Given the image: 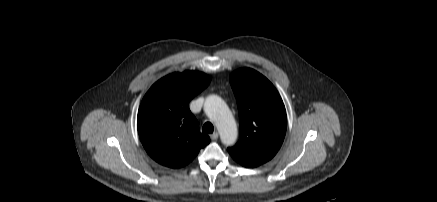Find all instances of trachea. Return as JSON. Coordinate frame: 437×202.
<instances>
[{
	"label": "trachea",
	"mask_w": 437,
	"mask_h": 202,
	"mask_svg": "<svg viewBox=\"0 0 437 202\" xmlns=\"http://www.w3.org/2000/svg\"><path fill=\"white\" fill-rule=\"evenodd\" d=\"M202 131L204 133H213L214 131L213 124L211 122H206L202 127Z\"/></svg>",
	"instance_id": "trachea-1"
}]
</instances>
